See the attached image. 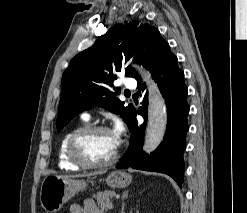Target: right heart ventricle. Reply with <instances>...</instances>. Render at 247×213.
<instances>
[{"label":"right heart ventricle","mask_w":247,"mask_h":213,"mask_svg":"<svg viewBox=\"0 0 247 213\" xmlns=\"http://www.w3.org/2000/svg\"><path fill=\"white\" fill-rule=\"evenodd\" d=\"M83 125H79L76 127L71 128L65 134L62 136L59 146H58V154H57V160H58V167L61 170L64 171H78L80 170V167L75 165L74 163L71 162V160L68 157L67 153V145L69 138L71 135L78 130L79 128H82Z\"/></svg>","instance_id":"obj_1"}]
</instances>
